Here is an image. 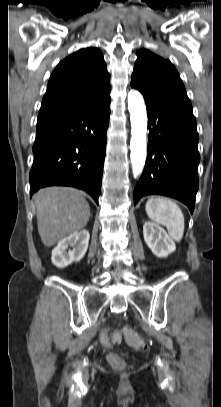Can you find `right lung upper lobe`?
<instances>
[{"label":"right lung upper lobe","instance_id":"right-lung-upper-lobe-1","mask_svg":"<svg viewBox=\"0 0 221 407\" xmlns=\"http://www.w3.org/2000/svg\"><path fill=\"white\" fill-rule=\"evenodd\" d=\"M110 91V74L101 51L81 49L62 60L51 74L38 120L88 107Z\"/></svg>","mask_w":221,"mask_h":407}]
</instances>
